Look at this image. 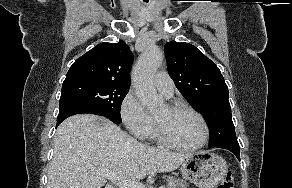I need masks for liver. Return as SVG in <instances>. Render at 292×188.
Masks as SVG:
<instances>
[{"label":"liver","instance_id":"obj_1","mask_svg":"<svg viewBox=\"0 0 292 188\" xmlns=\"http://www.w3.org/2000/svg\"><path fill=\"white\" fill-rule=\"evenodd\" d=\"M53 141L47 188H101L106 178L93 169L143 179L173 171L190 156L139 143L108 119L91 114L67 118Z\"/></svg>","mask_w":292,"mask_h":188}]
</instances>
